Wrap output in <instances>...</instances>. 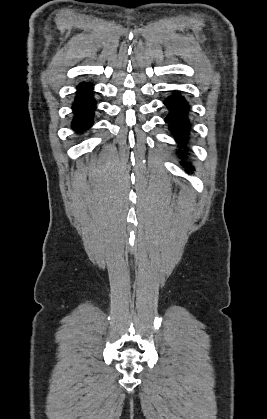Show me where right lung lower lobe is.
Here are the masks:
<instances>
[{
  "mask_svg": "<svg viewBox=\"0 0 267 419\" xmlns=\"http://www.w3.org/2000/svg\"><path fill=\"white\" fill-rule=\"evenodd\" d=\"M77 93L72 103L73 120L71 127L77 133H83L94 123L96 100L94 99L93 85L82 82L77 86Z\"/></svg>",
  "mask_w": 267,
  "mask_h": 419,
  "instance_id": "98d812e1",
  "label": "right lung lower lobe"
}]
</instances>
